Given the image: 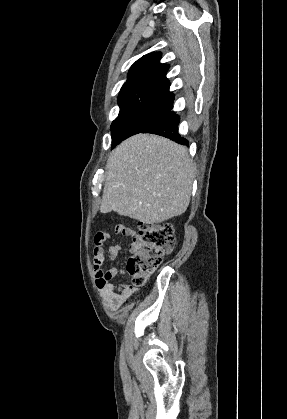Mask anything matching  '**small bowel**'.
<instances>
[{
	"label": "small bowel",
	"mask_w": 287,
	"mask_h": 419,
	"mask_svg": "<svg viewBox=\"0 0 287 419\" xmlns=\"http://www.w3.org/2000/svg\"><path fill=\"white\" fill-rule=\"evenodd\" d=\"M115 232L124 236L136 238V232L133 228L119 224L115 228ZM107 237L111 235L108 233ZM122 248L120 245L115 244L110 247L108 255L111 260H116L122 256ZM105 260V250L102 243H98L93 256V268L95 272L96 286L99 288L101 293L106 299L108 307L112 311L118 310L122 307L134 294V288L126 283L113 284L110 281L117 276L124 275L125 271L112 267L107 270L102 268Z\"/></svg>",
	"instance_id": "small-bowel-1"
}]
</instances>
